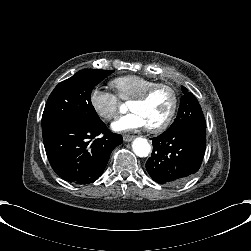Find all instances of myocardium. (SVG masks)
I'll return each mask as SVG.
<instances>
[{
    "mask_svg": "<svg viewBox=\"0 0 251 251\" xmlns=\"http://www.w3.org/2000/svg\"><path fill=\"white\" fill-rule=\"evenodd\" d=\"M160 87H166L171 90V92L173 94V105H172L170 112L168 113V115L166 116V118L162 122L155 124V125L147 126V128L150 131H154V132L165 130L166 128H168L170 126L171 122L173 121V119L177 113V110L179 108L180 97H179L178 89L176 88V86H174L171 83L154 82L149 87H147L140 95L133 98V102H141V103L146 102L150 99L152 94Z\"/></svg>",
    "mask_w": 251,
    "mask_h": 251,
    "instance_id": "f54148a6",
    "label": "myocardium"
}]
</instances>
